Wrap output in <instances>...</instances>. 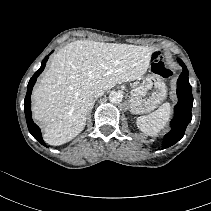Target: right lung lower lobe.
<instances>
[{"label": "right lung lower lobe", "instance_id": "98d812e1", "mask_svg": "<svg viewBox=\"0 0 211 211\" xmlns=\"http://www.w3.org/2000/svg\"><path fill=\"white\" fill-rule=\"evenodd\" d=\"M49 56H46L41 64V67L39 68L38 71L35 72V74L32 76L30 79L28 86H27V94L24 100V111H25V117H26V122L27 126L29 129V132L32 134V136L37 139L42 145L46 146L44 143L42 136H41V131L40 128L33 122L32 120V114H31V92L32 88L36 82L37 77L41 74V72L44 70L45 64L48 60Z\"/></svg>", "mask_w": 211, "mask_h": 211}]
</instances>
